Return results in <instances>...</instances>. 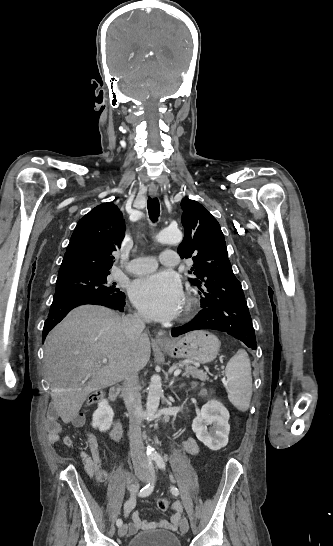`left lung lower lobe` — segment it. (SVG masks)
I'll list each match as a JSON object with an SVG mask.
<instances>
[{"label":"left lung lower lobe","mask_w":333,"mask_h":546,"mask_svg":"<svg viewBox=\"0 0 333 546\" xmlns=\"http://www.w3.org/2000/svg\"><path fill=\"white\" fill-rule=\"evenodd\" d=\"M200 302L202 310L189 323L174 328L171 331L173 337L193 330L213 329L226 332L256 350L255 331L245 300L221 302L208 296L201 298Z\"/></svg>","instance_id":"obj_1"}]
</instances>
